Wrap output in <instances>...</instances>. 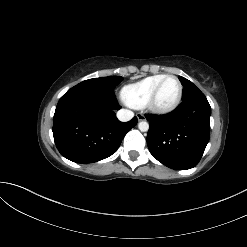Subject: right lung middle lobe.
<instances>
[{
  "label": "right lung middle lobe",
  "mask_w": 247,
  "mask_h": 247,
  "mask_svg": "<svg viewBox=\"0 0 247 247\" xmlns=\"http://www.w3.org/2000/svg\"><path fill=\"white\" fill-rule=\"evenodd\" d=\"M122 80L123 77L120 76L93 78L79 83L78 86H95L113 90Z\"/></svg>",
  "instance_id": "right-lung-middle-lobe-1"
}]
</instances>
